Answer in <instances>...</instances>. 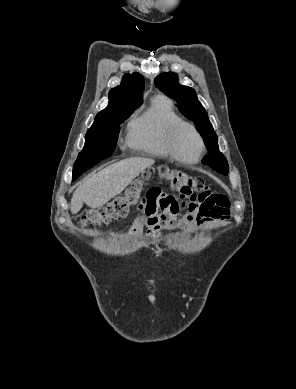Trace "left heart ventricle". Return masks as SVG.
<instances>
[{"mask_svg":"<svg viewBox=\"0 0 296 389\" xmlns=\"http://www.w3.org/2000/svg\"><path fill=\"white\" fill-rule=\"evenodd\" d=\"M178 154L188 160L196 158L199 151V143L193 132L188 128L179 131L176 138Z\"/></svg>","mask_w":296,"mask_h":389,"instance_id":"1","label":"left heart ventricle"}]
</instances>
